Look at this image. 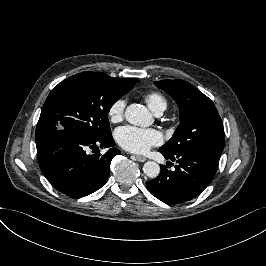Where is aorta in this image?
<instances>
[{"mask_svg":"<svg viewBox=\"0 0 266 266\" xmlns=\"http://www.w3.org/2000/svg\"><path fill=\"white\" fill-rule=\"evenodd\" d=\"M124 116L127 122L138 126H149L153 119L151 114L142 105L132 103L125 109ZM144 174L154 179L160 174V166L154 161H148L143 166Z\"/></svg>","mask_w":266,"mask_h":266,"instance_id":"1","label":"aorta"}]
</instances>
